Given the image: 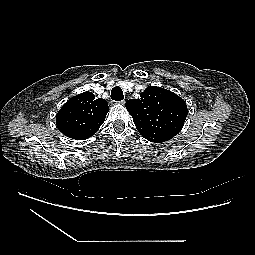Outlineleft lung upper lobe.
Returning <instances> with one entry per match:
<instances>
[{"instance_id":"5c2ea615","label":"left lung upper lobe","mask_w":255,"mask_h":255,"mask_svg":"<svg viewBox=\"0 0 255 255\" xmlns=\"http://www.w3.org/2000/svg\"><path fill=\"white\" fill-rule=\"evenodd\" d=\"M125 106L140 134L154 143H162L176 136L188 114L181 97L157 86H148L140 98L129 99Z\"/></svg>"}]
</instances>
